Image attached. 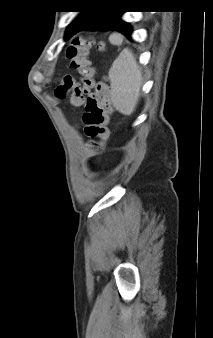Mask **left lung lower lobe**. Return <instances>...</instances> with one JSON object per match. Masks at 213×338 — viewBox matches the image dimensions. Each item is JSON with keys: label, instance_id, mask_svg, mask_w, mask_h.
I'll use <instances>...</instances> for the list:
<instances>
[{"label": "left lung lower lobe", "instance_id": "left-lung-lower-lobe-1", "mask_svg": "<svg viewBox=\"0 0 213 338\" xmlns=\"http://www.w3.org/2000/svg\"><path fill=\"white\" fill-rule=\"evenodd\" d=\"M123 10H86L68 27L65 39H69L81 30L121 32L131 39L132 28L121 20Z\"/></svg>", "mask_w": 213, "mask_h": 338}]
</instances>
